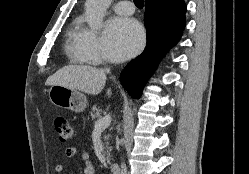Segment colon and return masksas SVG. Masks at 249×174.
<instances>
[{
	"instance_id": "colon-1",
	"label": "colon",
	"mask_w": 249,
	"mask_h": 174,
	"mask_svg": "<svg viewBox=\"0 0 249 174\" xmlns=\"http://www.w3.org/2000/svg\"><path fill=\"white\" fill-rule=\"evenodd\" d=\"M55 129L61 143H68L74 136V131L69 121L64 117L55 119Z\"/></svg>"
}]
</instances>
